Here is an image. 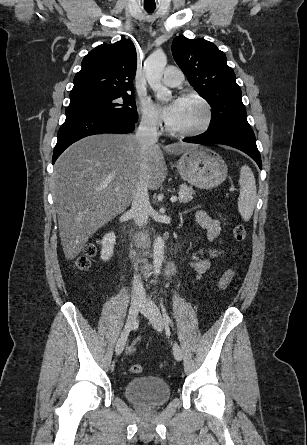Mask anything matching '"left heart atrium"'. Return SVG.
<instances>
[{
    "instance_id": "obj_1",
    "label": "left heart atrium",
    "mask_w": 307,
    "mask_h": 445,
    "mask_svg": "<svg viewBox=\"0 0 307 445\" xmlns=\"http://www.w3.org/2000/svg\"><path fill=\"white\" fill-rule=\"evenodd\" d=\"M180 101H181L180 99H171V100L156 99L154 103L159 108L163 118L168 123H170L176 116Z\"/></svg>"
}]
</instances>
